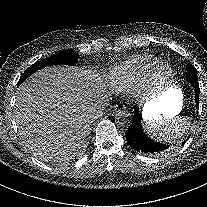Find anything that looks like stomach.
Wrapping results in <instances>:
<instances>
[{"label": "stomach", "instance_id": "0dacf381", "mask_svg": "<svg viewBox=\"0 0 207 207\" xmlns=\"http://www.w3.org/2000/svg\"><path fill=\"white\" fill-rule=\"evenodd\" d=\"M183 94L181 89L170 86L161 95L147 101L142 114L146 122L158 121L178 115L182 110Z\"/></svg>", "mask_w": 207, "mask_h": 207}]
</instances>
